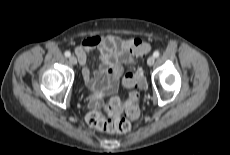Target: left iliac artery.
<instances>
[{
    "mask_svg": "<svg viewBox=\"0 0 230 155\" xmlns=\"http://www.w3.org/2000/svg\"><path fill=\"white\" fill-rule=\"evenodd\" d=\"M153 56H154L155 58L159 57V52H158V51H155V52L153 53Z\"/></svg>",
    "mask_w": 230,
    "mask_h": 155,
    "instance_id": "1",
    "label": "left iliac artery"
}]
</instances>
